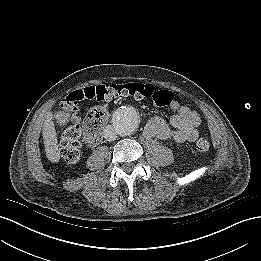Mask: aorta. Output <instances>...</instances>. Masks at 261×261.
I'll use <instances>...</instances> for the list:
<instances>
[{
  "label": "aorta",
  "mask_w": 261,
  "mask_h": 261,
  "mask_svg": "<svg viewBox=\"0 0 261 261\" xmlns=\"http://www.w3.org/2000/svg\"><path fill=\"white\" fill-rule=\"evenodd\" d=\"M112 123L118 134L122 136L130 135L139 127V111L132 105L121 106L114 111Z\"/></svg>",
  "instance_id": "aorta-1"
}]
</instances>
